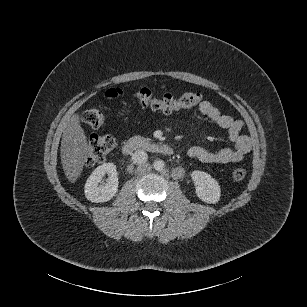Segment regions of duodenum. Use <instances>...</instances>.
I'll use <instances>...</instances> for the list:
<instances>
[{
    "instance_id": "obj_1",
    "label": "duodenum",
    "mask_w": 307,
    "mask_h": 307,
    "mask_svg": "<svg viewBox=\"0 0 307 307\" xmlns=\"http://www.w3.org/2000/svg\"><path fill=\"white\" fill-rule=\"evenodd\" d=\"M135 150H145L152 153H159L165 156H170L174 153L172 146L164 143L154 142L143 137H132L128 139L122 146V152L125 155H128Z\"/></svg>"
}]
</instances>
